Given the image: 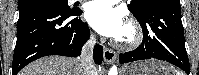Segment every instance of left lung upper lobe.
<instances>
[{
	"instance_id": "left-lung-upper-lobe-1",
	"label": "left lung upper lobe",
	"mask_w": 199,
	"mask_h": 75,
	"mask_svg": "<svg viewBox=\"0 0 199 75\" xmlns=\"http://www.w3.org/2000/svg\"><path fill=\"white\" fill-rule=\"evenodd\" d=\"M161 1L162 0H132L128 5V9L136 19H142L151 7Z\"/></svg>"
}]
</instances>
